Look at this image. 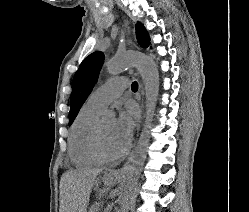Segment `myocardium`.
Masks as SVG:
<instances>
[{
    "label": "myocardium",
    "instance_id": "1",
    "mask_svg": "<svg viewBox=\"0 0 249 212\" xmlns=\"http://www.w3.org/2000/svg\"><path fill=\"white\" fill-rule=\"evenodd\" d=\"M100 123L101 120L98 119L96 120V122L94 123V126L92 128V132H91V147H92V151L95 155V157L103 163H112L115 161H118L119 159H121L124 156V153H119L116 155H109L106 152H104V150L101 147V143H100Z\"/></svg>",
    "mask_w": 249,
    "mask_h": 212
}]
</instances>
